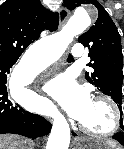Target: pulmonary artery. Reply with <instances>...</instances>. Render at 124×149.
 Here are the masks:
<instances>
[{
  "mask_svg": "<svg viewBox=\"0 0 124 149\" xmlns=\"http://www.w3.org/2000/svg\"><path fill=\"white\" fill-rule=\"evenodd\" d=\"M71 54L73 57L77 59H82L85 55V47L82 43H77L71 50Z\"/></svg>",
  "mask_w": 124,
  "mask_h": 149,
  "instance_id": "1",
  "label": "pulmonary artery"
}]
</instances>
